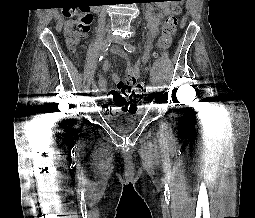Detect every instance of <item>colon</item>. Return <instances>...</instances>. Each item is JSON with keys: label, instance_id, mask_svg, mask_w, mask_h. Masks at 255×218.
Returning <instances> with one entry per match:
<instances>
[{"label": "colon", "instance_id": "1", "mask_svg": "<svg viewBox=\"0 0 255 218\" xmlns=\"http://www.w3.org/2000/svg\"><path fill=\"white\" fill-rule=\"evenodd\" d=\"M173 4V12L165 20L162 32L159 39V45L161 48L168 47L173 39V36L177 29V17L180 15L183 0H167ZM65 21V36L67 42L71 48H74L77 43L89 32L92 16L82 7H70L63 12ZM124 90L129 93L130 98L140 96L143 93V84L137 82L131 86H125Z\"/></svg>", "mask_w": 255, "mask_h": 218}]
</instances>
